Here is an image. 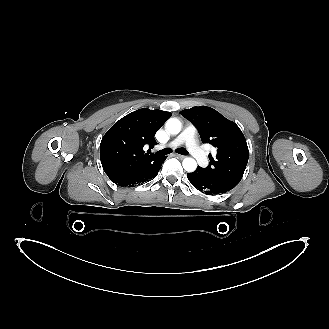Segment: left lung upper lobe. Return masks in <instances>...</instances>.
Masks as SVG:
<instances>
[{"instance_id":"1","label":"left lung upper lobe","mask_w":329,"mask_h":329,"mask_svg":"<svg viewBox=\"0 0 329 329\" xmlns=\"http://www.w3.org/2000/svg\"><path fill=\"white\" fill-rule=\"evenodd\" d=\"M181 114L196 126L203 143H210L217 149L216 156L209 158L207 168H197L234 188L241 181L249 158L240 128L207 106L185 109Z\"/></svg>"}]
</instances>
